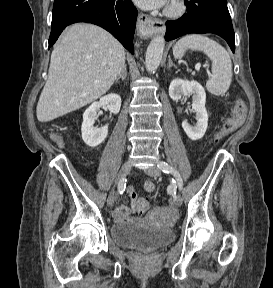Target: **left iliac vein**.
<instances>
[{
    "label": "left iliac vein",
    "instance_id": "1",
    "mask_svg": "<svg viewBox=\"0 0 273 288\" xmlns=\"http://www.w3.org/2000/svg\"><path fill=\"white\" fill-rule=\"evenodd\" d=\"M145 173L152 177H159L161 175V171L157 166H152L146 169ZM174 202L177 206L182 205V197L179 193L174 194Z\"/></svg>",
    "mask_w": 273,
    "mask_h": 288
}]
</instances>
